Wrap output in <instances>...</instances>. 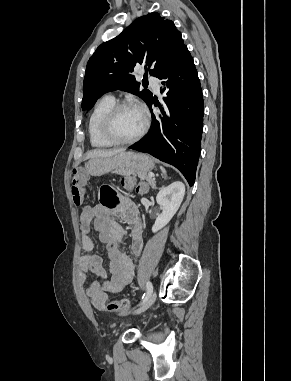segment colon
I'll use <instances>...</instances> for the list:
<instances>
[{
    "label": "colon",
    "instance_id": "1",
    "mask_svg": "<svg viewBox=\"0 0 291 381\" xmlns=\"http://www.w3.org/2000/svg\"><path fill=\"white\" fill-rule=\"evenodd\" d=\"M70 181H71V195H72L73 202L76 206H80L82 204L83 194H84V177L82 175V172L79 169L73 170ZM126 186L129 189L135 188L139 192H144L146 189L144 185L136 184L132 180L127 181ZM101 200L106 205H113L114 203L117 202V199L111 200V199L104 198ZM130 307H131V303L128 299L113 300L109 302L106 306L109 312H116V313L127 312L129 311Z\"/></svg>",
    "mask_w": 291,
    "mask_h": 381
}]
</instances>
